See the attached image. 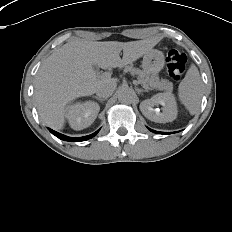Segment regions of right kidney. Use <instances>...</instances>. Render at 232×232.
Masks as SVG:
<instances>
[{"label": "right kidney", "instance_id": "1", "mask_svg": "<svg viewBox=\"0 0 232 232\" xmlns=\"http://www.w3.org/2000/svg\"><path fill=\"white\" fill-rule=\"evenodd\" d=\"M100 107L97 103L87 101L74 103L66 108V118L74 130L89 127L96 119Z\"/></svg>", "mask_w": 232, "mask_h": 232}]
</instances>
